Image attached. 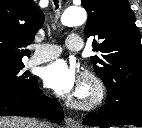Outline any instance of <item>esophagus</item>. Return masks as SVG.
Returning a JSON list of instances; mask_svg holds the SVG:
<instances>
[{
    "label": "esophagus",
    "mask_w": 142,
    "mask_h": 128,
    "mask_svg": "<svg viewBox=\"0 0 142 128\" xmlns=\"http://www.w3.org/2000/svg\"><path fill=\"white\" fill-rule=\"evenodd\" d=\"M65 124L67 128H81L80 124L74 118L71 117H67L65 119Z\"/></svg>",
    "instance_id": "1"
}]
</instances>
